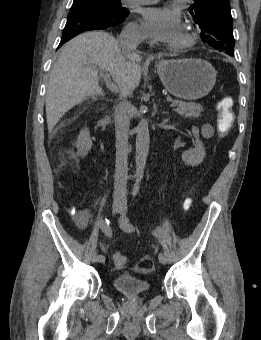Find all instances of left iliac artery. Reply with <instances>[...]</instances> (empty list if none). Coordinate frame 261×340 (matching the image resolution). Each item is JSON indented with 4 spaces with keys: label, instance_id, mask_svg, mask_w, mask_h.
Listing matches in <instances>:
<instances>
[{
    "label": "left iliac artery",
    "instance_id": "obj_1",
    "mask_svg": "<svg viewBox=\"0 0 261 340\" xmlns=\"http://www.w3.org/2000/svg\"><path fill=\"white\" fill-rule=\"evenodd\" d=\"M120 221H122V225H123L125 230L134 231L136 229V227H134V225L128 220V218L122 217ZM154 235L158 239V241L161 245V248H162V252L165 255L167 261L171 262L173 260V255H172L171 251L169 250V248L166 244V241L164 240V238L161 236L160 233L154 232Z\"/></svg>",
    "mask_w": 261,
    "mask_h": 340
}]
</instances>
